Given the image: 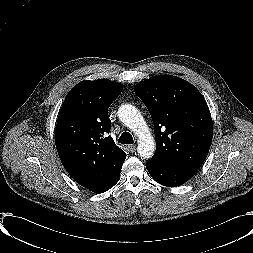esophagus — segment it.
Masks as SVG:
<instances>
[{"label": "esophagus", "instance_id": "1", "mask_svg": "<svg viewBox=\"0 0 253 253\" xmlns=\"http://www.w3.org/2000/svg\"><path fill=\"white\" fill-rule=\"evenodd\" d=\"M128 149H129V151H130V152H132V153H133V152H135V151H136L137 146H136V145H129V146H128Z\"/></svg>", "mask_w": 253, "mask_h": 253}]
</instances>
